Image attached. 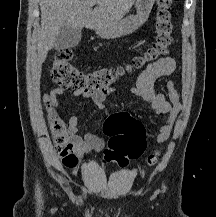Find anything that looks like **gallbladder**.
<instances>
[{"label": "gallbladder", "instance_id": "bac80fb5", "mask_svg": "<svg viewBox=\"0 0 216 217\" xmlns=\"http://www.w3.org/2000/svg\"><path fill=\"white\" fill-rule=\"evenodd\" d=\"M81 40V30L71 27H62L54 43L56 50L72 48L78 45Z\"/></svg>", "mask_w": 216, "mask_h": 217}]
</instances>
